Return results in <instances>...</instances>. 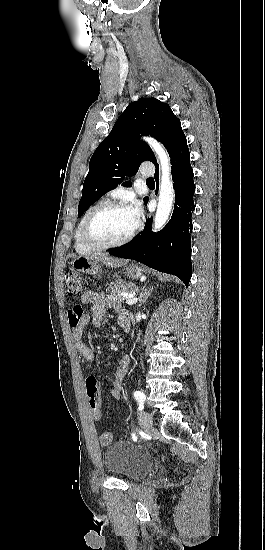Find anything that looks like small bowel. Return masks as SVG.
<instances>
[{"instance_id": "obj_1", "label": "small bowel", "mask_w": 265, "mask_h": 550, "mask_svg": "<svg viewBox=\"0 0 265 550\" xmlns=\"http://www.w3.org/2000/svg\"><path fill=\"white\" fill-rule=\"evenodd\" d=\"M81 301L83 303H91L92 311L90 314H83L80 307H76L72 311V318L76 320V324L73 327V339L75 348L83 356L86 362H92L96 355L95 348V331L99 327L101 321L105 317L108 310L112 307L119 318L120 326L128 331L130 328L129 311L122 306L112 305L105 294L97 291H87L82 295ZM88 326V340L89 345L82 341V335L84 327ZM130 359L124 356L120 359L119 364L114 373L113 383L109 389V393L113 398H119L121 396L122 384L129 367ZM101 419V418H100ZM100 419H95L96 421Z\"/></svg>"}]
</instances>
